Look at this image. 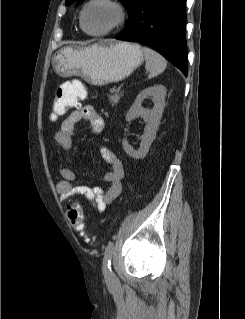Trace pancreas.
I'll use <instances>...</instances> for the list:
<instances>
[{
  "label": "pancreas",
  "mask_w": 245,
  "mask_h": 319,
  "mask_svg": "<svg viewBox=\"0 0 245 319\" xmlns=\"http://www.w3.org/2000/svg\"><path fill=\"white\" fill-rule=\"evenodd\" d=\"M108 97H109L110 103L112 105H115L119 102L120 98L122 97V94H119V93L113 94V90H111V95H109Z\"/></svg>",
  "instance_id": "obj_1"
}]
</instances>
